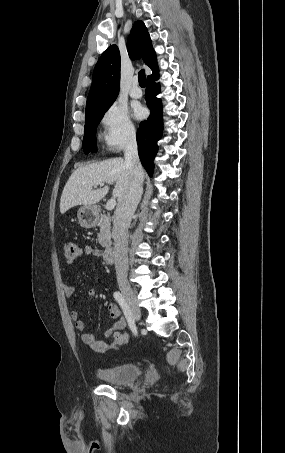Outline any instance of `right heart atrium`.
Returning a JSON list of instances; mask_svg holds the SVG:
<instances>
[{
  "mask_svg": "<svg viewBox=\"0 0 285 453\" xmlns=\"http://www.w3.org/2000/svg\"><path fill=\"white\" fill-rule=\"evenodd\" d=\"M101 126V139L109 152H119L135 140V125L128 110L119 103H113L105 110Z\"/></svg>",
  "mask_w": 285,
  "mask_h": 453,
  "instance_id": "d8ad5b80",
  "label": "right heart atrium"
}]
</instances>
